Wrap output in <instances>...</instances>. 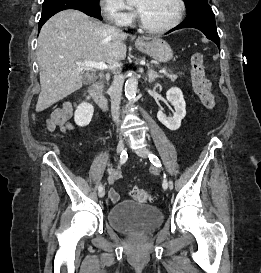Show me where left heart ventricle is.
I'll return each mask as SVG.
<instances>
[{
  "mask_svg": "<svg viewBox=\"0 0 261 273\" xmlns=\"http://www.w3.org/2000/svg\"><path fill=\"white\" fill-rule=\"evenodd\" d=\"M136 9L152 27H162L174 21L178 14L176 0H136Z\"/></svg>",
  "mask_w": 261,
  "mask_h": 273,
  "instance_id": "1",
  "label": "left heart ventricle"
}]
</instances>
